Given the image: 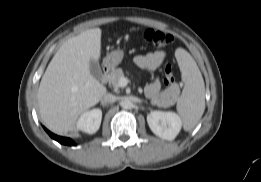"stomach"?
<instances>
[{
  "mask_svg": "<svg viewBox=\"0 0 261 182\" xmlns=\"http://www.w3.org/2000/svg\"><path fill=\"white\" fill-rule=\"evenodd\" d=\"M123 57V50H114L107 54V56L104 58V66L108 69L113 70L121 63Z\"/></svg>",
  "mask_w": 261,
  "mask_h": 182,
  "instance_id": "stomach-1",
  "label": "stomach"
}]
</instances>
